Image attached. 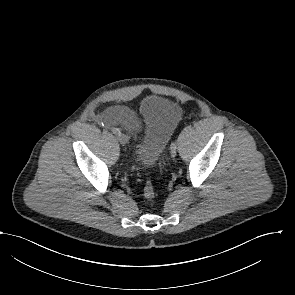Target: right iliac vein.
<instances>
[{
	"mask_svg": "<svg viewBox=\"0 0 295 295\" xmlns=\"http://www.w3.org/2000/svg\"><path fill=\"white\" fill-rule=\"evenodd\" d=\"M118 140H119V142H120L122 145H125V144L128 143V137H127L125 134H123V133H120V134L118 135Z\"/></svg>",
	"mask_w": 295,
	"mask_h": 295,
	"instance_id": "right-iliac-vein-1",
	"label": "right iliac vein"
}]
</instances>
